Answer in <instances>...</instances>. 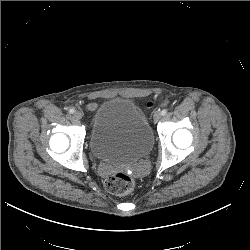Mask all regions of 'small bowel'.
<instances>
[{
	"instance_id": "c3829d8e",
	"label": "small bowel",
	"mask_w": 250,
	"mask_h": 250,
	"mask_svg": "<svg viewBox=\"0 0 250 250\" xmlns=\"http://www.w3.org/2000/svg\"><path fill=\"white\" fill-rule=\"evenodd\" d=\"M95 107H96V105H95V104H90V105L88 106V108H89L90 110H94V109H95Z\"/></svg>"
}]
</instances>
